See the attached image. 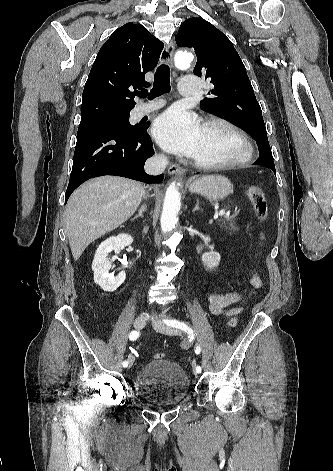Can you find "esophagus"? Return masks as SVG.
Listing matches in <instances>:
<instances>
[{"label": "esophagus", "mask_w": 333, "mask_h": 471, "mask_svg": "<svg viewBox=\"0 0 333 471\" xmlns=\"http://www.w3.org/2000/svg\"><path fill=\"white\" fill-rule=\"evenodd\" d=\"M174 50L175 41L172 39L161 52L160 63L172 66ZM167 171L170 175H182L184 173V169L177 164H170Z\"/></svg>", "instance_id": "obj_1"}]
</instances>
